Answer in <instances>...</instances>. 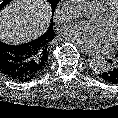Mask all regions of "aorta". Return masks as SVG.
I'll use <instances>...</instances> for the list:
<instances>
[{
    "label": "aorta",
    "mask_w": 118,
    "mask_h": 118,
    "mask_svg": "<svg viewBox=\"0 0 118 118\" xmlns=\"http://www.w3.org/2000/svg\"><path fill=\"white\" fill-rule=\"evenodd\" d=\"M72 12L74 17L82 21H89L92 17L91 6L85 0H77ZM90 68L95 73H102L107 68V62L103 56H95L90 61Z\"/></svg>",
    "instance_id": "1"
}]
</instances>
